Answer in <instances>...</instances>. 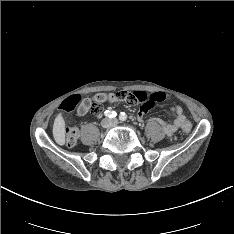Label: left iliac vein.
<instances>
[{
  "label": "left iliac vein",
  "instance_id": "obj_1",
  "mask_svg": "<svg viewBox=\"0 0 234 234\" xmlns=\"http://www.w3.org/2000/svg\"><path fill=\"white\" fill-rule=\"evenodd\" d=\"M113 123L116 124V123H117V120H113Z\"/></svg>",
  "mask_w": 234,
  "mask_h": 234
}]
</instances>
